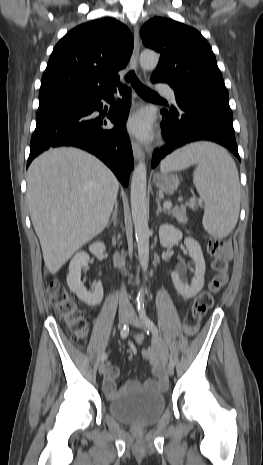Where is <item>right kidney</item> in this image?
Wrapping results in <instances>:
<instances>
[{
  "mask_svg": "<svg viewBox=\"0 0 263 465\" xmlns=\"http://www.w3.org/2000/svg\"><path fill=\"white\" fill-rule=\"evenodd\" d=\"M106 248L104 243L95 242L89 246V251L94 254H102ZM89 255L85 251H80L75 254L69 264V274L67 275V285L71 291L75 292L76 295L84 303L89 306H95L100 304L103 298V286L99 282L93 292L87 291L84 284L81 282V270L83 267L88 266Z\"/></svg>",
  "mask_w": 263,
  "mask_h": 465,
  "instance_id": "1",
  "label": "right kidney"
}]
</instances>
